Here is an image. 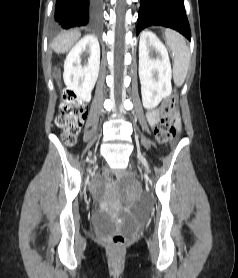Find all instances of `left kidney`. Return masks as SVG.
<instances>
[{
    "mask_svg": "<svg viewBox=\"0 0 238 278\" xmlns=\"http://www.w3.org/2000/svg\"><path fill=\"white\" fill-rule=\"evenodd\" d=\"M172 70L164 44L150 32L139 42V78L144 108L151 110L172 92Z\"/></svg>",
    "mask_w": 238,
    "mask_h": 278,
    "instance_id": "obj_1",
    "label": "left kidney"
}]
</instances>
